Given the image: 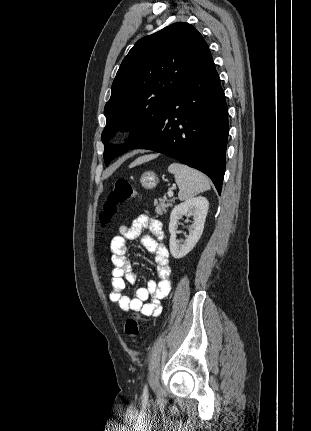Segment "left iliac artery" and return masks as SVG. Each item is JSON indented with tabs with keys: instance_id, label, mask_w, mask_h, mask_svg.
I'll return each instance as SVG.
<instances>
[{
	"instance_id": "obj_1",
	"label": "left iliac artery",
	"mask_w": 311,
	"mask_h": 431,
	"mask_svg": "<svg viewBox=\"0 0 311 431\" xmlns=\"http://www.w3.org/2000/svg\"><path fill=\"white\" fill-rule=\"evenodd\" d=\"M143 401L146 402L148 400V388L147 385L143 388V394H142Z\"/></svg>"
}]
</instances>
